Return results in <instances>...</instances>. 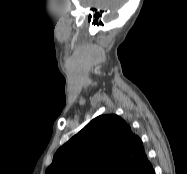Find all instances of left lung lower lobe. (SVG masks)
Returning <instances> with one entry per match:
<instances>
[{
  "label": "left lung lower lobe",
  "mask_w": 187,
  "mask_h": 174,
  "mask_svg": "<svg viewBox=\"0 0 187 174\" xmlns=\"http://www.w3.org/2000/svg\"><path fill=\"white\" fill-rule=\"evenodd\" d=\"M132 174H155L152 165H148L144 169H142L140 172H137V168L132 172Z\"/></svg>",
  "instance_id": "left-lung-lower-lobe-1"
}]
</instances>
